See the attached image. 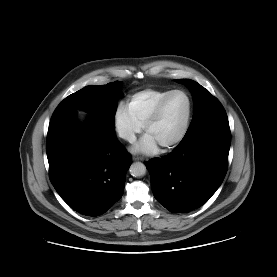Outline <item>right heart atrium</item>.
<instances>
[{"instance_id":"obj_1","label":"right heart atrium","mask_w":277,"mask_h":277,"mask_svg":"<svg viewBox=\"0 0 277 277\" xmlns=\"http://www.w3.org/2000/svg\"><path fill=\"white\" fill-rule=\"evenodd\" d=\"M113 125L117 135L129 143L134 142L143 129V126L133 118L127 105L123 103H120L114 111Z\"/></svg>"}]
</instances>
